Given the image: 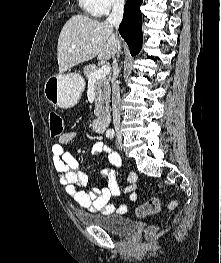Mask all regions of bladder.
Returning <instances> with one entry per match:
<instances>
[{"instance_id": "1", "label": "bladder", "mask_w": 221, "mask_h": 263, "mask_svg": "<svg viewBox=\"0 0 221 263\" xmlns=\"http://www.w3.org/2000/svg\"><path fill=\"white\" fill-rule=\"evenodd\" d=\"M78 220L85 225L98 226L107 232L124 236L133 232L137 222L119 214L79 215Z\"/></svg>"}]
</instances>
